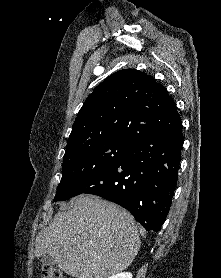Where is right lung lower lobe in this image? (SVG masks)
I'll return each instance as SVG.
<instances>
[{"instance_id":"1","label":"right lung lower lobe","mask_w":221,"mask_h":278,"mask_svg":"<svg viewBox=\"0 0 221 278\" xmlns=\"http://www.w3.org/2000/svg\"><path fill=\"white\" fill-rule=\"evenodd\" d=\"M183 141L181 123L133 139L119 160L74 196L98 195L129 210L146 230L160 231L175 191Z\"/></svg>"}]
</instances>
